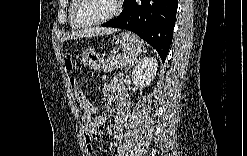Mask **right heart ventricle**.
<instances>
[{"instance_id": "obj_1", "label": "right heart ventricle", "mask_w": 247, "mask_h": 156, "mask_svg": "<svg viewBox=\"0 0 247 156\" xmlns=\"http://www.w3.org/2000/svg\"><path fill=\"white\" fill-rule=\"evenodd\" d=\"M76 3H77V0H72L70 2V6H69V9H68V21H69V25L74 30H77V29L80 28V26H78L75 23V21H74V10H75V7H76Z\"/></svg>"}]
</instances>
